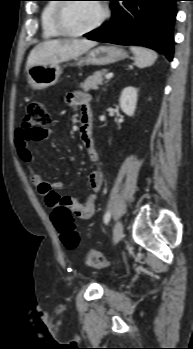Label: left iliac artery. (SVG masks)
Returning a JSON list of instances; mask_svg holds the SVG:
<instances>
[{"label":"left iliac artery","mask_w":193,"mask_h":349,"mask_svg":"<svg viewBox=\"0 0 193 349\" xmlns=\"http://www.w3.org/2000/svg\"><path fill=\"white\" fill-rule=\"evenodd\" d=\"M110 217H111L110 212H107V213L104 215V223H105V224H108V222L110 221Z\"/></svg>","instance_id":"44dca946"}]
</instances>
